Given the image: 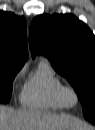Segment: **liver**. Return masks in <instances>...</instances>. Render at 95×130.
Here are the masks:
<instances>
[{
  "mask_svg": "<svg viewBox=\"0 0 95 130\" xmlns=\"http://www.w3.org/2000/svg\"><path fill=\"white\" fill-rule=\"evenodd\" d=\"M69 128L90 130L67 114L39 109L14 110L6 106L0 108V130H68Z\"/></svg>",
  "mask_w": 95,
  "mask_h": 130,
  "instance_id": "liver-1",
  "label": "liver"
}]
</instances>
